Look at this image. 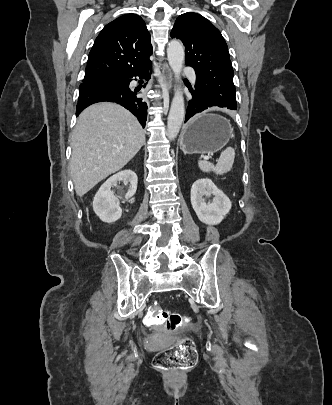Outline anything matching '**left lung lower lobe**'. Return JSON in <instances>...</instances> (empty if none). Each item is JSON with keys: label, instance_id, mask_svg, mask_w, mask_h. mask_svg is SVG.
Listing matches in <instances>:
<instances>
[{"label": "left lung lower lobe", "instance_id": "obj_1", "mask_svg": "<svg viewBox=\"0 0 332 405\" xmlns=\"http://www.w3.org/2000/svg\"><path fill=\"white\" fill-rule=\"evenodd\" d=\"M190 92L192 94V99L188 103L185 122L195 114L200 113L209 107H213L212 105H209L207 98L203 94L196 93L193 89H191Z\"/></svg>", "mask_w": 332, "mask_h": 405}]
</instances>
